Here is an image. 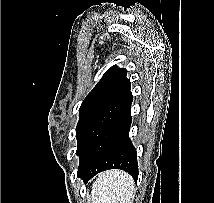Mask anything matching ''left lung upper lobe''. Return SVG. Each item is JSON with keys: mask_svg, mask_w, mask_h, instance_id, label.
I'll use <instances>...</instances> for the list:
<instances>
[{"mask_svg": "<svg viewBox=\"0 0 214 203\" xmlns=\"http://www.w3.org/2000/svg\"><path fill=\"white\" fill-rule=\"evenodd\" d=\"M126 74L124 68L111 67L83 100L76 127L77 150L90 125L130 83Z\"/></svg>", "mask_w": 214, "mask_h": 203, "instance_id": "left-lung-upper-lobe-1", "label": "left lung upper lobe"}]
</instances>
